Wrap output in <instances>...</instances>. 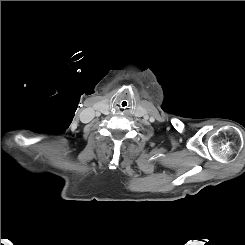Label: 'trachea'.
<instances>
[{
	"instance_id": "3493384b",
	"label": "trachea",
	"mask_w": 245,
	"mask_h": 245,
	"mask_svg": "<svg viewBox=\"0 0 245 245\" xmlns=\"http://www.w3.org/2000/svg\"><path fill=\"white\" fill-rule=\"evenodd\" d=\"M119 106L121 109H126L129 107V101L128 100H122L120 103H119Z\"/></svg>"
}]
</instances>
